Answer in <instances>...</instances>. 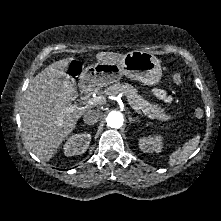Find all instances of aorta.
<instances>
[{"instance_id": "1", "label": "aorta", "mask_w": 221, "mask_h": 221, "mask_svg": "<svg viewBox=\"0 0 221 221\" xmlns=\"http://www.w3.org/2000/svg\"><path fill=\"white\" fill-rule=\"evenodd\" d=\"M123 121V115L119 111H111L106 118L107 125L115 129L120 128L123 125Z\"/></svg>"}]
</instances>
